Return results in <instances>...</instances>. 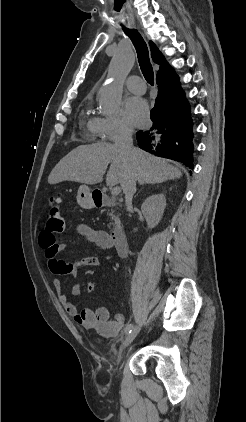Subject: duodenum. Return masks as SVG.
Returning a JSON list of instances; mask_svg holds the SVG:
<instances>
[{"instance_id":"duodenum-1","label":"duodenum","mask_w":246,"mask_h":422,"mask_svg":"<svg viewBox=\"0 0 246 422\" xmlns=\"http://www.w3.org/2000/svg\"><path fill=\"white\" fill-rule=\"evenodd\" d=\"M96 207L115 206L116 203L106 196H94ZM110 239L119 256H125L128 252V243L124 231L120 227H115L110 232Z\"/></svg>"}]
</instances>
